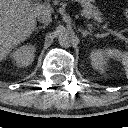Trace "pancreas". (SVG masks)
<instances>
[{
    "instance_id": "cf45deb5",
    "label": "pancreas",
    "mask_w": 128,
    "mask_h": 128,
    "mask_svg": "<svg viewBox=\"0 0 128 128\" xmlns=\"http://www.w3.org/2000/svg\"><path fill=\"white\" fill-rule=\"evenodd\" d=\"M78 2L83 8L81 15L85 18H94L98 22H101L103 18H101V13L98 11L96 6H94L91 2L93 0H71Z\"/></svg>"
}]
</instances>
